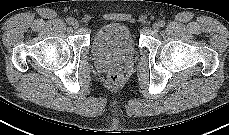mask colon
I'll return each instance as SVG.
<instances>
[{"label": "colon", "instance_id": "5ec220e1", "mask_svg": "<svg viewBox=\"0 0 229 135\" xmlns=\"http://www.w3.org/2000/svg\"><path fill=\"white\" fill-rule=\"evenodd\" d=\"M121 79V75L118 72L112 71L108 74V82L111 85H119L121 83Z\"/></svg>", "mask_w": 229, "mask_h": 135}]
</instances>
